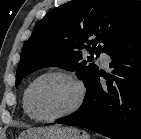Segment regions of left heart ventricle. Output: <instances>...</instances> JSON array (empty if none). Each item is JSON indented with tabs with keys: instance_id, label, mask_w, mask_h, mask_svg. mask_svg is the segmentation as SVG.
<instances>
[{
	"instance_id": "b2bd125f",
	"label": "left heart ventricle",
	"mask_w": 141,
	"mask_h": 139,
	"mask_svg": "<svg viewBox=\"0 0 141 139\" xmlns=\"http://www.w3.org/2000/svg\"><path fill=\"white\" fill-rule=\"evenodd\" d=\"M77 90L68 79L51 76L40 80L31 92V107L40 117H51L68 109L75 101Z\"/></svg>"
}]
</instances>
